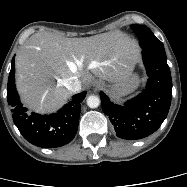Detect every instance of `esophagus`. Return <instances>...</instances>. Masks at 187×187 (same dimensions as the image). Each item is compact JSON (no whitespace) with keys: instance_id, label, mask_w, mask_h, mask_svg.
I'll return each mask as SVG.
<instances>
[{"instance_id":"obj_1","label":"esophagus","mask_w":187,"mask_h":187,"mask_svg":"<svg viewBox=\"0 0 187 187\" xmlns=\"http://www.w3.org/2000/svg\"><path fill=\"white\" fill-rule=\"evenodd\" d=\"M94 87H95V88H100V87H102V82H101V81H95V82H94Z\"/></svg>"}]
</instances>
